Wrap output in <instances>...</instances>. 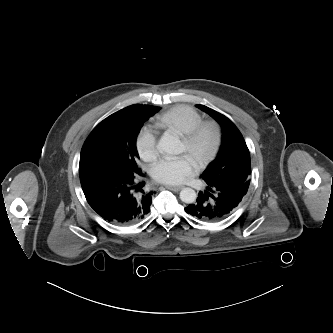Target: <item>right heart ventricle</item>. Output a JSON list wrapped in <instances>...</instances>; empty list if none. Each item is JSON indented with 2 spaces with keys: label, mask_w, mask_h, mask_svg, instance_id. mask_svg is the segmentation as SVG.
Masks as SVG:
<instances>
[{
  "label": "right heart ventricle",
  "mask_w": 333,
  "mask_h": 333,
  "mask_svg": "<svg viewBox=\"0 0 333 333\" xmlns=\"http://www.w3.org/2000/svg\"><path fill=\"white\" fill-rule=\"evenodd\" d=\"M202 115L190 106H176L159 115L154 123L157 129L184 135L202 122Z\"/></svg>",
  "instance_id": "1"
}]
</instances>
